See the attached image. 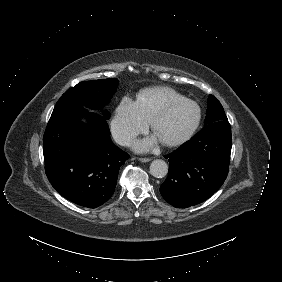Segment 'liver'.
<instances>
[{"label": "liver", "instance_id": "1", "mask_svg": "<svg viewBox=\"0 0 282 282\" xmlns=\"http://www.w3.org/2000/svg\"><path fill=\"white\" fill-rule=\"evenodd\" d=\"M89 112L92 113V111H89ZM77 122H78V125L82 128L88 129L91 127L90 120L87 115H80L77 118Z\"/></svg>", "mask_w": 282, "mask_h": 282}]
</instances>
